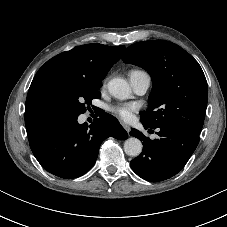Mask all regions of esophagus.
Instances as JSON below:
<instances>
[{"instance_id":"1","label":"esophagus","mask_w":227,"mask_h":227,"mask_svg":"<svg viewBox=\"0 0 227 227\" xmlns=\"http://www.w3.org/2000/svg\"><path fill=\"white\" fill-rule=\"evenodd\" d=\"M121 124H122L123 128L127 131V133L129 134V132L131 130L130 126L125 123H121Z\"/></svg>"}]
</instances>
